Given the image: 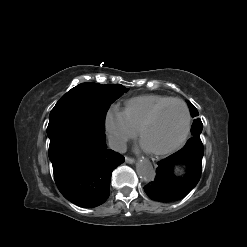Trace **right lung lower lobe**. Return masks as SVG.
Returning <instances> with one entry per match:
<instances>
[{
    "label": "right lung lower lobe",
    "instance_id": "98d812e1",
    "mask_svg": "<svg viewBox=\"0 0 247 247\" xmlns=\"http://www.w3.org/2000/svg\"><path fill=\"white\" fill-rule=\"evenodd\" d=\"M49 158L56 185L73 204L93 208L106 201L112 171L124 157L105 144V129L78 115L49 120Z\"/></svg>",
    "mask_w": 247,
    "mask_h": 247
}]
</instances>
